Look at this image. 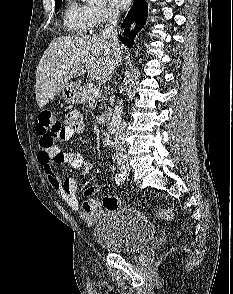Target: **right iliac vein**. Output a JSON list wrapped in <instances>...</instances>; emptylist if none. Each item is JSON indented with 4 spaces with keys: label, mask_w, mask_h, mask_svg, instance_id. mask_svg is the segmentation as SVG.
Wrapping results in <instances>:
<instances>
[{
    "label": "right iliac vein",
    "mask_w": 233,
    "mask_h": 294,
    "mask_svg": "<svg viewBox=\"0 0 233 294\" xmlns=\"http://www.w3.org/2000/svg\"><path fill=\"white\" fill-rule=\"evenodd\" d=\"M120 171L124 176H128L130 174V169L127 166H120Z\"/></svg>",
    "instance_id": "obj_1"
}]
</instances>
